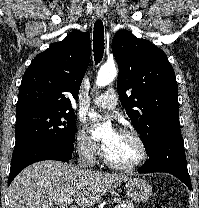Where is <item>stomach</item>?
<instances>
[{"instance_id":"stomach-1","label":"stomach","mask_w":199,"mask_h":208,"mask_svg":"<svg viewBox=\"0 0 199 208\" xmlns=\"http://www.w3.org/2000/svg\"><path fill=\"white\" fill-rule=\"evenodd\" d=\"M126 195L136 202L147 201L152 195V186L141 178L128 179L126 181Z\"/></svg>"}]
</instances>
